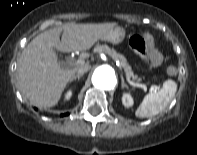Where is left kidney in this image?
<instances>
[{"instance_id":"1","label":"left kidney","mask_w":197,"mask_h":155,"mask_svg":"<svg viewBox=\"0 0 197 155\" xmlns=\"http://www.w3.org/2000/svg\"><path fill=\"white\" fill-rule=\"evenodd\" d=\"M122 103L125 107L130 108L134 104V100L129 93H123L122 95Z\"/></svg>"}]
</instances>
